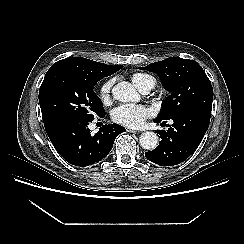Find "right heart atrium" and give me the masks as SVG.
Listing matches in <instances>:
<instances>
[{"mask_svg":"<svg viewBox=\"0 0 244 244\" xmlns=\"http://www.w3.org/2000/svg\"><path fill=\"white\" fill-rule=\"evenodd\" d=\"M111 86L112 80H108L102 84L99 90V98L101 102L105 105L109 104L111 101Z\"/></svg>","mask_w":244,"mask_h":244,"instance_id":"1","label":"right heart atrium"}]
</instances>
